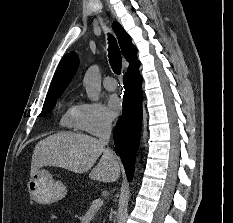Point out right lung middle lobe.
I'll list each match as a JSON object with an SVG mask.
<instances>
[{
	"instance_id": "1",
	"label": "right lung middle lobe",
	"mask_w": 233,
	"mask_h": 223,
	"mask_svg": "<svg viewBox=\"0 0 233 223\" xmlns=\"http://www.w3.org/2000/svg\"><path fill=\"white\" fill-rule=\"evenodd\" d=\"M54 106H55V103H51V104L43 106V110H42L43 113L44 114L49 113L53 109Z\"/></svg>"
}]
</instances>
